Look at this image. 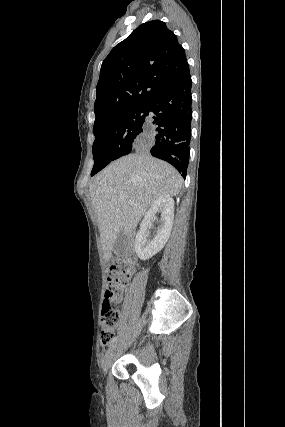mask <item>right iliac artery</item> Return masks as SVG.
I'll return each instance as SVG.
<instances>
[{
  "label": "right iliac artery",
  "instance_id": "right-iliac-artery-1",
  "mask_svg": "<svg viewBox=\"0 0 285 427\" xmlns=\"http://www.w3.org/2000/svg\"><path fill=\"white\" fill-rule=\"evenodd\" d=\"M116 341H117V337H113V338L110 340L109 345H110V346H111V345H113Z\"/></svg>",
  "mask_w": 285,
  "mask_h": 427
}]
</instances>
